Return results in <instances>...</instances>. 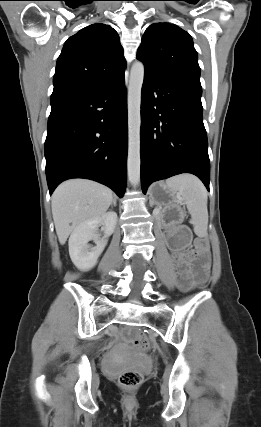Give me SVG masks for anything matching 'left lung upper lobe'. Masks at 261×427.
I'll list each match as a JSON object with an SVG mask.
<instances>
[{
	"instance_id": "1",
	"label": "left lung upper lobe",
	"mask_w": 261,
	"mask_h": 427,
	"mask_svg": "<svg viewBox=\"0 0 261 427\" xmlns=\"http://www.w3.org/2000/svg\"><path fill=\"white\" fill-rule=\"evenodd\" d=\"M137 59L144 63L147 72L177 76L200 84V67L192 38L177 25H150L143 35Z\"/></svg>"
}]
</instances>
